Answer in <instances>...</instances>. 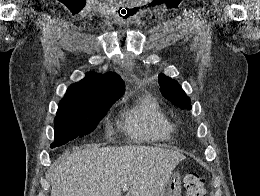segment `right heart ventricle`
I'll list each match as a JSON object with an SVG mask.
<instances>
[{
    "instance_id": "obj_1",
    "label": "right heart ventricle",
    "mask_w": 260,
    "mask_h": 196,
    "mask_svg": "<svg viewBox=\"0 0 260 196\" xmlns=\"http://www.w3.org/2000/svg\"><path fill=\"white\" fill-rule=\"evenodd\" d=\"M130 132L140 141L159 143L171 139L174 126L159 107L149 100H142L124 115ZM90 192H122L121 190H90Z\"/></svg>"
}]
</instances>
